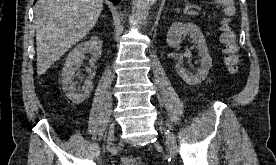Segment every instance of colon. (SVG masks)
<instances>
[{
	"label": "colon",
	"mask_w": 276,
	"mask_h": 165,
	"mask_svg": "<svg viewBox=\"0 0 276 165\" xmlns=\"http://www.w3.org/2000/svg\"><path fill=\"white\" fill-rule=\"evenodd\" d=\"M220 40L225 54V63L228 69L234 73L239 68L240 56L235 32L228 22L223 23L221 27ZM123 165H141V160L137 156L128 155L123 158Z\"/></svg>",
	"instance_id": "5ec220e1"
}]
</instances>
